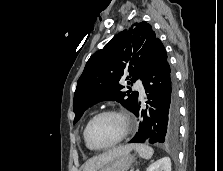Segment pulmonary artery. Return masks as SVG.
Segmentation results:
<instances>
[{"instance_id": "obj_1", "label": "pulmonary artery", "mask_w": 223, "mask_h": 171, "mask_svg": "<svg viewBox=\"0 0 223 171\" xmlns=\"http://www.w3.org/2000/svg\"><path fill=\"white\" fill-rule=\"evenodd\" d=\"M135 88L139 91V94H140L141 96H144V95H145L144 86H143V84H142L141 81H137V82L135 83Z\"/></svg>"}]
</instances>
